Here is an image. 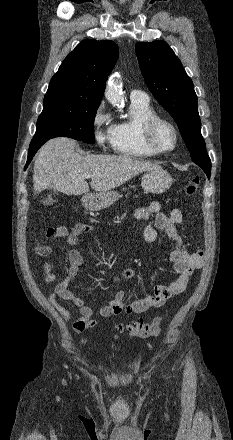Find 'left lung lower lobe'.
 Wrapping results in <instances>:
<instances>
[{
	"label": "left lung lower lobe",
	"mask_w": 233,
	"mask_h": 440,
	"mask_svg": "<svg viewBox=\"0 0 233 440\" xmlns=\"http://www.w3.org/2000/svg\"><path fill=\"white\" fill-rule=\"evenodd\" d=\"M199 165L206 173L208 178H210V170H211V161L196 163Z\"/></svg>",
	"instance_id": "0a47b994"
}]
</instances>
